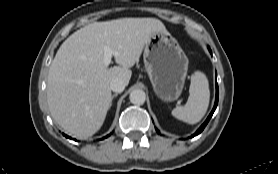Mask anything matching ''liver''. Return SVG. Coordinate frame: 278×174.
Listing matches in <instances>:
<instances>
[{
	"mask_svg": "<svg viewBox=\"0 0 278 174\" xmlns=\"http://www.w3.org/2000/svg\"><path fill=\"white\" fill-rule=\"evenodd\" d=\"M167 30L155 18H120L94 22L70 35L58 49L49 68L47 103L54 120L69 134L86 138L103 125L111 103L110 82L128 85L149 37ZM111 48L120 66L103 63Z\"/></svg>",
	"mask_w": 278,
	"mask_h": 174,
	"instance_id": "1",
	"label": "liver"
}]
</instances>
